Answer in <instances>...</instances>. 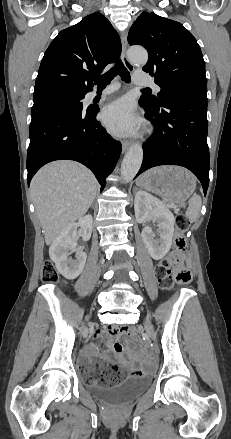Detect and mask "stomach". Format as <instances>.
<instances>
[{"label":"stomach","instance_id":"1","mask_svg":"<svg viewBox=\"0 0 231 439\" xmlns=\"http://www.w3.org/2000/svg\"><path fill=\"white\" fill-rule=\"evenodd\" d=\"M141 185L173 203H183L196 188L195 177L188 170L177 166L153 168L142 175Z\"/></svg>","mask_w":231,"mask_h":439}]
</instances>
